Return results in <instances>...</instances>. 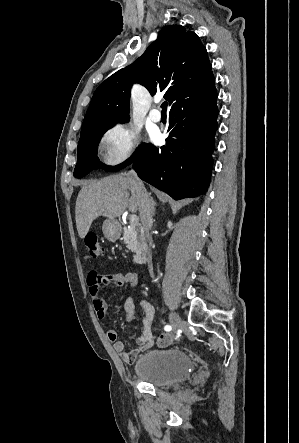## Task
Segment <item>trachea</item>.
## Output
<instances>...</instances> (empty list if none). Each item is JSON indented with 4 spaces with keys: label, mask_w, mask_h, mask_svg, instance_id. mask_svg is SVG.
<instances>
[{
    "label": "trachea",
    "mask_w": 299,
    "mask_h": 443,
    "mask_svg": "<svg viewBox=\"0 0 299 443\" xmlns=\"http://www.w3.org/2000/svg\"><path fill=\"white\" fill-rule=\"evenodd\" d=\"M161 108H162V111H166V109H167V102L166 101L161 104Z\"/></svg>",
    "instance_id": "3493384b"
}]
</instances>
